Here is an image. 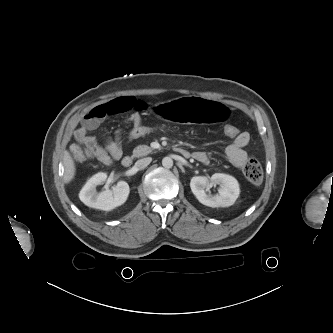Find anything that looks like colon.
Listing matches in <instances>:
<instances>
[{
	"label": "colon",
	"mask_w": 333,
	"mask_h": 333,
	"mask_svg": "<svg viewBox=\"0 0 333 333\" xmlns=\"http://www.w3.org/2000/svg\"><path fill=\"white\" fill-rule=\"evenodd\" d=\"M169 131V128L166 124H163L158 121L151 123L146 122H136L131 123L130 128L125 133V136L130 140H140L153 135H161ZM225 135L231 139L236 138L240 131L239 129L232 125L228 124L224 128ZM73 157L78 162H85L89 157L81 149H72ZM243 172L246 179L253 185H259L263 179V170L259 161L253 157L247 159L243 166Z\"/></svg>",
	"instance_id": "colon-1"
}]
</instances>
